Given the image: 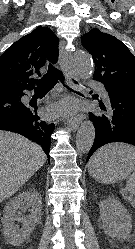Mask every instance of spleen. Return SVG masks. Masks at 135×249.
<instances>
[{"label":"spleen","mask_w":135,"mask_h":249,"mask_svg":"<svg viewBox=\"0 0 135 249\" xmlns=\"http://www.w3.org/2000/svg\"><path fill=\"white\" fill-rule=\"evenodd\" d=\"M108 155H120L135 162V147L122 143L107 145L93 155L89 161V165L97 162L101 157ZM127 192L135 194V170L127 180L125 189L121 190L124 198L131 201V206L135 208V199L131 200L130 197L127 196Z\"/></svg>","instance_id":"1"}]
</instances>
